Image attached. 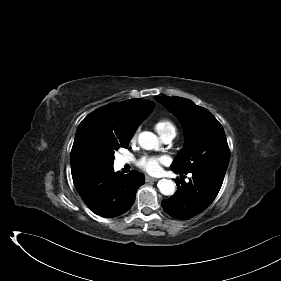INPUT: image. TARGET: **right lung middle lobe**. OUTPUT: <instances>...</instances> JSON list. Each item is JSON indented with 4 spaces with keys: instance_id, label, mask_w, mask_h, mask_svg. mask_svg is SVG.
I'll return each instance as SVG.
<instances>
[{
    "instance_id": "1",
    "label": "right lung middle lobe",
    "mask_w": 281,
    "mask_h": 281,
    "mask_svg": "<svg viewBox=\"0 0 281 281\" xmlns=\"http://www.w3.org/2000/svg\"><path fill=\"white\" fill-rule=\"evenodd\" d=\"M129 142L130 140H127V141H124L120 144H115L111 150V153H110V159H109V166L112 167L113 166V160H114V151L119 149L120 147H123V148H127L128 145H129Z\"/></svg>"
}]
</instances>
